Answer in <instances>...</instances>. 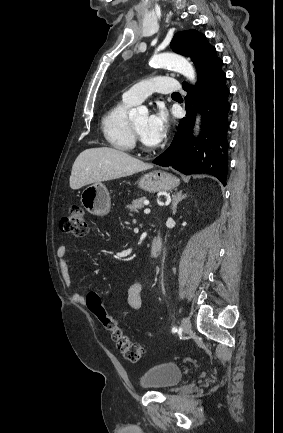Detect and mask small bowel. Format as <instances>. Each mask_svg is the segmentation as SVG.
Listing matches in <instances>:
<instances>
[{
    "mask_svg": "<svg viewBox=\"0 0 283 433\" xmlns=\"http://www.w3.org/2000/svg\"><path fill=\"white\" fill-rule=\"evenodd\" d=\"M57 258L59 261V268L62 278L67 286L71 285V276L69 271L68 259H67V248L64 245H61L56 250ZM142 290L143 285L140 282L133 283L129 286L127 291V301L129 306L134 310H139L142 307ZM72 300L78 304H85V297L79 293L74 292L72 294Z\"/></svg>",
    "mask_w": 283,
    "mask_h": 433,
    "instance_id": "c3829d8e",
    "label": "small bowel"
}]
</instances>
